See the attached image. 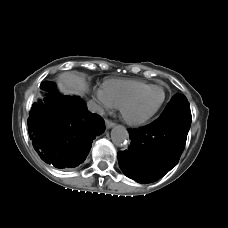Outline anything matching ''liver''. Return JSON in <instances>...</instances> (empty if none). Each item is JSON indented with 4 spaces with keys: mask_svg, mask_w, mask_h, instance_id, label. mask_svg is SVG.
Segmentation results:
<instances>
[{
    "mask_svg": "<svg viewBox=\"0 0 228 228\" xmlns=\"http://www.w3.org/2000/svg\"><path fill=\"white\" fill-rule=\"evenodd\" d=\"M61 91L67 94H83L87 90L85 79L77 74L64 72L58 77Z\"/></svg>",
    "mask_w": 228,
    "mask_h": 228,
    "instance_id": "liver-1",
    "label": "liver"
}]
</instances>
